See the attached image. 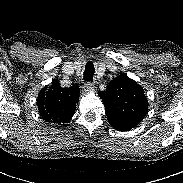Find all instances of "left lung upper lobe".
Wrapping results in <instances>:
<instances>
[{
  "instance_id": "5c2ea615",
  "label": "left lung upper lobe",
  "mask_w": 183,
  "mask_h": 183,
  "mask_svg": "<svg viewBox=\"0 0 183 183\" xmlns=\"http://www.w3.org/2000/svg\"><path fill=\"white\" fill-rule=\"evenodd\" d=\"M105 106L110 125L118 131H127L144 118L148 101L142 87L126 74H121L98 92Z\"/></svg>"
}]
</instances>
